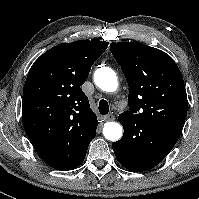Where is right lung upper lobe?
<instances>
[{"instance_id":"right-lung-upper-lobe-1","label":"right lung upper lobe","mask_w":199,"mask_h":199,"mask_svg":"<svg viewBox=\"0 0 199 199\" xmlns=\"http://www.w3.org/2000/svg\"><path fill=\"white\" fill-rule=\"evenodd\" d=\"M108 42L61 43L32 65L23 88L22 120L33 147L45 160L74 159L96 135L98 120L80 86Z\"/></svg>"}]
</instances>
